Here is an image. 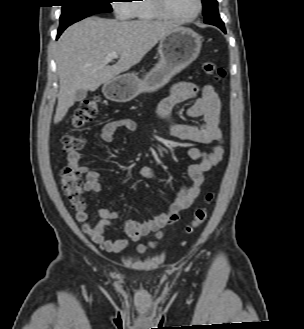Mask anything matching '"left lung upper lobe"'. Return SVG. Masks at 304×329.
Returning a JSON list of instances; mask_svg holds the SVG:
<instances>
[{"instance_id": "1", "label": "left lung upper lobe", "mask_w": 304, "mask_h": 329, "mask_svg": "<svg viewBox=\"0 0 304 329\" xmlns=\"http://www.w3.org/2000/svg\"><path fill=\"white\" fill-rule=\"evenodd\" d=\"M203 6H204V11L203 15L204 17L213 9L217 8V0H202Z\"/></svg>"}]
</instances>
